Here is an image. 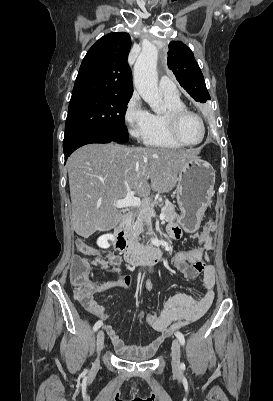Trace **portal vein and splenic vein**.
Returning a JSON list of instances; mask_svg holds the SVG:
<instances>
[{
  "label": "portal vein and splenic vein",
  "mask_w": 273,
  "mask_h": 401,
  "mask_svg": "<svg viewBox=\"0 0 273 401\" xmlns=\"http://www.w3.org/2000/svg\"><path fill=\"white\" fill-rule=\"evenodd\" d=\"M134 194V190H129L125 198H122V201H116L114 207H116V209H122V207H140V198H138V196H134ZM148 213L149 215H151V217H156V213H154L153 209H151V211H148ZM159 219L160 221H164V213H161Z\"/></svg>",
  "instance_id": "18ae733b"
}]
</instances>
